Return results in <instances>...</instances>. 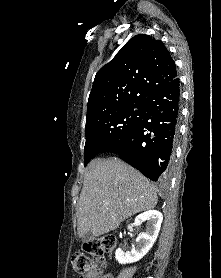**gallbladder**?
<instances>
[{"label":"gallbladder","instance_id":"bac80fb5","mask_svg":"<svg viewBox=\"0 0 221 278\" xmlns=\"http://www.w3.org/2000/svg\"><path fill=\"white\" fill-rule=\"evenodd\" d=\"M95 239L94 235L91 232H87L83 237L82 241L83 243H87L90 241H93Z\"/></svg>","mask_w":221,"mask_h":278}]
</instances>
